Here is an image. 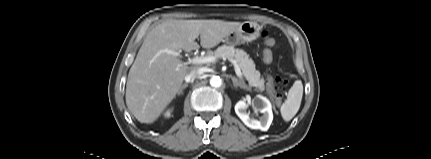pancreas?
Masks as SVG:
<instances>
[{"mask_svg":"<svg viewBox=\"0 0 431 159\" xmlns=\"http://www.w3.org/2000/svg\"><path fill=\"white\" fill-rule=\"evenodd\" d=\"M208 55H214L217 58L234 59L247 79L249 87H254L255 90L260 92L265 90V80L260 77V72L255 69L254 61L244 50L222 45ZM266 90L271 99L275 98L272 86L267 85Z\"/></svg>","mask_w":431,"mask_h":159,"instance_id":"obj_1","label":"pancreas"}]
</instances>
